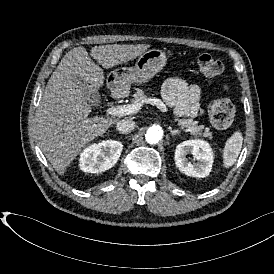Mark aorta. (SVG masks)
<instances>
[{
	"mask_svg": "<svg viewBox=\"0 0 274 274\" xmlns=\"http://www.w3.org/2000/svg\"><path fill=\"white\" fill-rule=\"evenodd\" d=\"M163 136V130L159 125H152L148 128L145 139L149 144H156L158 143Z\"/></svg>",
	"mask_w": 274,
	"mask_h": 274,
	"instance_id": "1",
	"label": "aorta"
}]
</instances>
